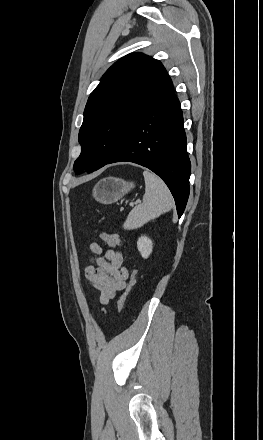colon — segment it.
<instances>
[{"mask_svg": "<svg viewBox=\"0 0 263 440\" xmlns=\"http://www.w3.org/2000/svg\"><path fill=\"white\" fill-rule=\"evenodd\" d=\"M95 232H97L100 235V237L110 246L122 245L120 238L116 234L109 233V232L102 230V229H99V228H96ZM133 285H134V276L131 277L128 285L126 286V288L120 298L119 304L121 307H123L125 305Z\"/></svg>", "mask_w": 263, "mask_h": 440, "instance_id": "obj_1", "label": "colon"}]
</instances>
